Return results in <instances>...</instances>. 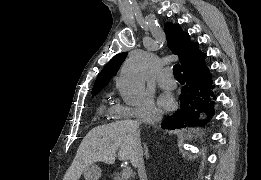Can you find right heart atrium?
Segmentation results:
<instances>
[{"label":"right heart atrium","instance_id":"d8ad5b80","mask_svg":"<svg viewBox=\"0 0 261 180\" xmlns=\"http://www.w3.org/2000/svg\"><path fill=\"white\" fill-rule=\"evenodd\" d=\"M150 113L159 115V110L154 106L152 97L148 95L147 98H144L143 105L123 108L117 112L115 118L119 120V117H142V120H144ZM111 127H114V125Z\"/></svg>","mask_w":261,"mask_h":180}]
</instances>
